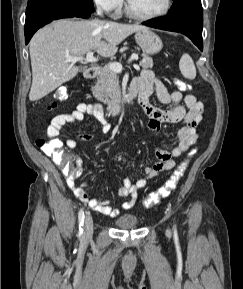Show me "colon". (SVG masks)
Returning a JSON list of instances; mask_svg holds the SVG:
<instances>
[{
  "instance_id": "5ec220e1",
  "label": "colon",
  "mask_w": 243,
  "mask_h": 289,
  "mask_svg": "<svg viewBox=\"0 0 243 289\" xmlns=\"http://www.w3.org/2000/svg\"><path fill=\"white\" fill-rule=\"evenodd\" d=\"M175 85L180 89L188 88V85L181 80H175ZM67 98V92L64 88H59L53 93V101H51L47 107L49 112H52L57 101H63ZM37 145L41 150L51 157L53 161L59 165L63 171L69 172L71 170V160L68 155H66L62 150V142L59 139H50L46 141L44 139L37 140ZM194 154V151L190 153V156ZM188 165V159L184 160L173 172L170 178L162 185L157 191L150 193L144 199V206L149 208L156 205L162 198L170 195L177 187V184L181 177L183 176Z\"/></svg>"
}]
</instances>
